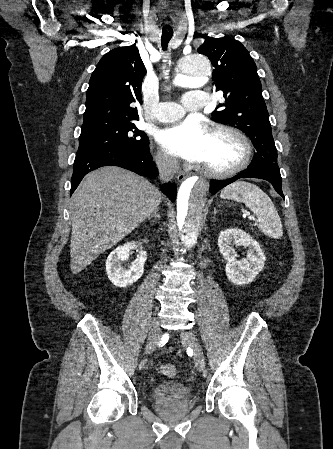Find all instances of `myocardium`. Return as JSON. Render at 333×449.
<instances>
[{"mask_svg":"<svg viewBox=\"0 0 333 449\" xmlns=\"http://www.w3.org/2000/svg\"><path fill=\"white\" fill-rule=\"evenodd\" d=\"M210 134L226 136L238 143L240 147V157L233 165L216 169L206 165H201L203 171L212 178L224 179L231 177L245 169L252 158V144L242 132L231 127L216 125L209 130Z\"/></svg>","mask_w":333,"mask_h":449,"instance_id":"f54148a6","label":"myocardium"}]
</instances>
